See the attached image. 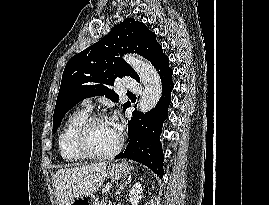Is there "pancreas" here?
Listing matches in <instances>:
<instances>
[{
    "instance_id": "obj_1",
    "label": "pancreas",
    "mask_w": 269,
    "mask_h": 205,
    "mask_svg": "<svg viewBox=\"0 0 269 205\" xmlns=\"http://www.w3.org/2000/svg\"><path fill=\"white\" fill-rule=\"evenodd\" d=\"M95 205H111V204L107 199H104L101 202L95 203Z\"/></svg>"
}]
</instances>
